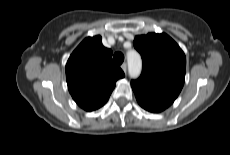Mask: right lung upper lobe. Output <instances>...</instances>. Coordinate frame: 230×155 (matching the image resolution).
<instances>
[{"label": "right lung upper lobe", "mask_w": 230, "mask_h": 155, "mask_svg": "<svg viewBox=\"0 0 230 155\" xmlns=\"http://www.w3.org/2000/svg\"><path fill=\"white\" fill-rule=\"evenodd\" d=\"M124 72L112 61V51L100 36L88 37L70 55L66 64L68 90L84 110L93 111L109 99Z\"/></svg>", "instance_id": "obj_1"}]
</instances>
